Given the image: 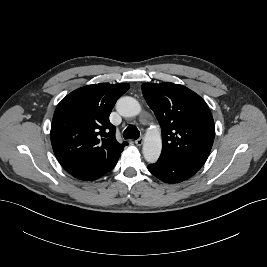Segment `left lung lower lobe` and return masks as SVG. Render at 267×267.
I'll list each match as a JSON object with an SVG mask.
<instances>
[{
  "instance_id": "obj_1",
  "label": "left lung lower lobe",
  "mask_w": 267,
  "mask_h": 267,
  "mask_svg": "<svg viewBox=\"0 0 267 267\" xmlns=\"http://www.w3.org/2000/svg\"><path fill=\"white\" fill-rule=\"evenodd\" d=\"M200 165L175 159L159 158L154 164L148 166V170L160 180L166 183H179L192 177Z\"/></svg>"
}]
</instances>
